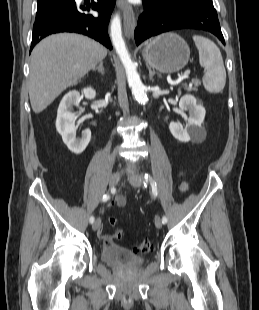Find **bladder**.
<instances>
[{"instance_id":"obj_1","label":"bladder","mask_w":259,"mask_h":310,"mask_svg":"<svg viewBox=\"0 0 259 310\" xmlns=\"http://www.w3.org/2000/svg\"><path fill=\"white\" fill-rule=\"evenodd\" d=\"M100 259L111 266L121 269H131L140 266L144 258L131 250L119 245H104L101 249Z\"/></svg>"}]
</instances>
